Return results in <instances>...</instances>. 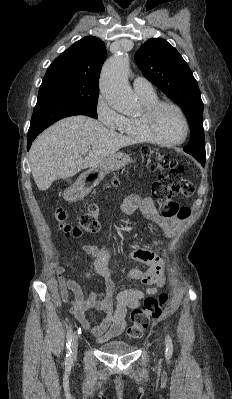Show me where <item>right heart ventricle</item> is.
Masks as SVG:
<instances>
[{
  "mask_svg": "<svg viewBox=\"0 0 232 399\" xmlns=\"http://www.w3.org/2000/svg\"><path fill=\"white\" fill-rule=\"evenodd\" d=\"M141 101L144 108L159 102L158 98L153 96H141ZM118 134L125 140L131 141L132 143L140 144H153L160 145L159 143L152 140L143 130L140 116L138 117H127L123 116L119 125L115 128Z\"/></svg>",
  "mask_w": 232,
  "mask_h": 399,
  "instance_id": "obj_1",
  "label": "right heart ventricle"
}]
</instances>
